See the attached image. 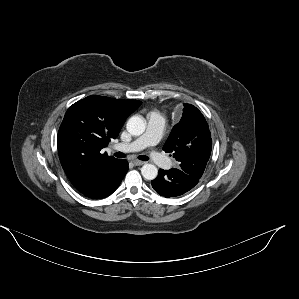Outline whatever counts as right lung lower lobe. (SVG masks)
<instances>
[{"instance_id":"obj_1","label":"right lung lower lobe","mask_w":299,"mask_h":299,"mask_svg":"<svg viewBox=\"0 0 299 299\" xmlns=\"http://www.w3.org/2000/svg\"><path fill=\"white\" fill-rule=\"evenodd\" d=\"M127 171L128 162L124 159L118 160L108 168L103 181L99 184L97 188H95L92 191L85 192L83 194L89 198L94 199L109 196L118 188Z\"/></svg>"}]
</instances>
